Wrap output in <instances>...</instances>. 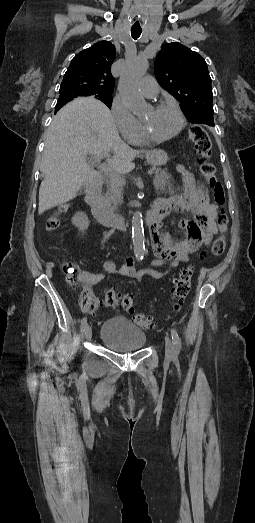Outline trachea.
I'll return each instance as SVG.
<instances>
[{"label": "trachea", "instance_id": "1", "mask_svg": "<svg viewBox=\"0 0 255 523\" xmlns=\"http://www.w3.org/2000/svg\"><path fill=\"white\" fill-rule=\"evenodd\" d=\"M142 33V28L132 27L131 35L134 40L138 39Z\"/></svg>", "mask_w": 255, "mask_h": 523}]
</instances>
